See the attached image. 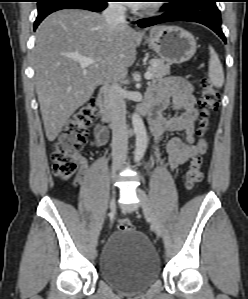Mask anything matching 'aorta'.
<instances>
[{
    "instance_id": "762f6f07",
    "label": "aorta",
    "mask_w": 248,
    "mask_h": 299,
    "mask_svg": "<svg viewBox=\"0 0 248 299\" xmlns=\"http://www.w3.org/2000/svg\"><path fill=\"white\" fill-rule=\"evenodd\" d=\"M132 125L136 135L135 160H140L147 149L148 140L144 122L138 113L133 114Z\"/></svg>"
}]
</instances>
